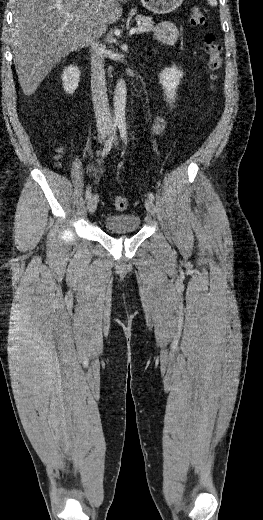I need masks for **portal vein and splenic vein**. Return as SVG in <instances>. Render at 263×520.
<instances>
[{"instance_id":"18ae733b","label":"portal vein and splenic vein","mask_w":263,"mask_h":520,"mask_svg":"<svg viewBox=\"0 0 263 520\" xmlns=\"http://www.w3.org/2000/svg\"><path fill=\"white\" fill-rule=\"evenodd\" d=\"M65 17H66V19H73V18L79 17V16L77 14H73V13L72 14L66 13ZM136 31H137L136 28H132V29H130L129 33H130V35H133V34H135Z\"/></svg>"}]
</instances>
